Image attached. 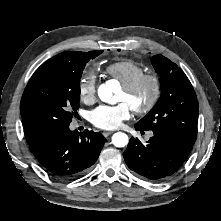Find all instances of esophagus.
Segmentation results:
<instances>
[{
  "label": "esophagus",
  "instance_id": "34e87169",
  "mask_svg": "<svg viewBox=\"0 0 221 221\" xmlns=\"http://www.w3.org/2000/svg\"><path fill=\"white\" fill-rule=\"evenodd\" d=\"M112 133H113V131H104V132H103V135H104L105 137H107V136L111 135Z\"/></svg>",
  "mask_w": 221,
  "mask_h": 221
}]
</instances>
